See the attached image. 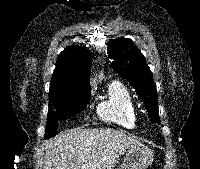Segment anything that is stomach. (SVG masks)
Listing matches in <instances>:
<instances>
[{
	"instance_id": "0dacf381",
	"label": "stomach",
	"mask_w": 200,
	"mask_h": 169,
	"mask_svg": "<svg viewBox=\"0 0 200 169\" xmlns=\"http://www.w3.org/2000/svg\"><path fill=\"white\" fill-rule=\"evenodd\" d=\"M153 153L146 146H134L126 150L118 169H146L153 162Z\"/></svg>"
}]
</instances>
